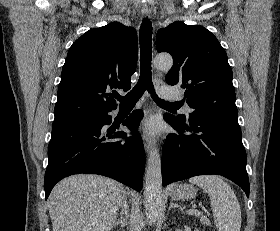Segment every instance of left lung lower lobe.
Returning <instances> with one entry per match:
<instances>
[{"label": "left lung lower lobe", "instance_id": "left-lung-lower-lobe-1", "mask_svg": "<svg viewBox=\"0 0 280 231\" xmlns=\"http://www.w3.org/2000/svg\"><path fill=\"white\" fill-rule=\"evenodd\" d=\"M165 120L179 133L169 134L163 148V186L197 175L216 174L235 182L249 197L247 158L237 117H189V126L180 116L168 114Z\"/></svg>", "mask_w": 280, "mask_h": 231}]
</instances>
